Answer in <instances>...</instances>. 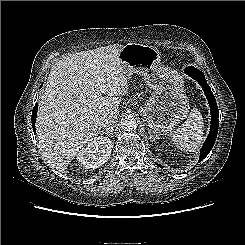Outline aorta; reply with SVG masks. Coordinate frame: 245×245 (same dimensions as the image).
I'll use <instances>...</instances> for the list:
<instances>
[{"mask_svg": "<svg viewBox=\"0 0 245 245\" xmlns=\"http://www.w3.org/2000/svg\"><path fill=\"white\" fill-rule=\"evenodd\" d=\"M121 127L124 131L132 132L137 128V121L134 116H125L121 119Z\"/></svg>", "mask_w": 245, "mask_h": 245, "instance_id": "obj_1", "label": "aorta"}]
</instances>
